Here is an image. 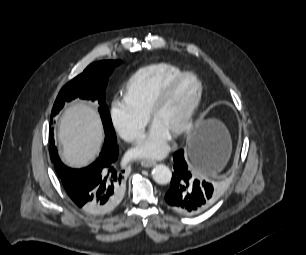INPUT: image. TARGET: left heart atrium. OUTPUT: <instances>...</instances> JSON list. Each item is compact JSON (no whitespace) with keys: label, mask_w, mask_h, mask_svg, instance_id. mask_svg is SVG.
<instances>
[{"label":"left heart atrium","mask_w":306,"mask_h":255,"mask_svg":"<svg viewBox=\"0 0 306 255\" xmlns=\"http://www.w3.org/2000/svg\"><path fill=\"white\" fill-rule=\"evenodd\" d=\"M171 133L153 123L148 134L130 151L134 158H161L169 150Z\"/></svg>","instance_id":"1"}]
</instances>
